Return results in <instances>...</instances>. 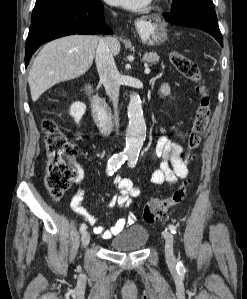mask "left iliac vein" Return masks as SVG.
<instances>
[{
	"label": "left iliac vein",
	"instance_id": "obj_1",
	"mask_svg": "<svg viewBox=\"0 0 247 299\" xmlns=\"http://www.w3.org/2000/svg\"><path fill=\"white\" fill-rule=\"evenodd\" d=\"M165 239V256L168 263L173 264L175 262V256L173 252L174 238L171 232H164Z\"/></svg>",
	"mask_w": 247,
	"mask_h": 299
}]
</instances>
